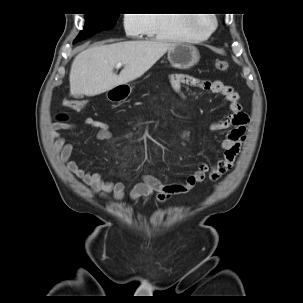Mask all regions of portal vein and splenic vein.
<instances>
[{"label": "portal vein and splenic vein", "instance_id": "18ae733b", "mask_svg": "<svg viewBox=\"0 0 303 303\" xmlns=\"http://www.w3.org/2000/svg\"><path fill=\"white\" fill-rule=\"evenodd\" d=\"M122 65H123V63H118V64L116 65V68H120Z\"/></svg>", "mask_w": 303, "mask_h": 303}]
</instances>
